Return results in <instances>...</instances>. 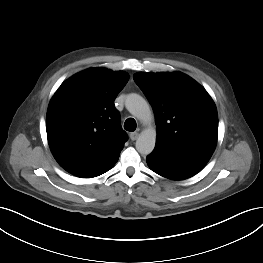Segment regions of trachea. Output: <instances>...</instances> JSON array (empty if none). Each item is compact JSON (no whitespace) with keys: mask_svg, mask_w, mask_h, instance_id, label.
<instances>
[{"mask_svg":"<svg viewBox=\"0 0 263 263\" xmlns=\"http://www.w3.org/2000/svg\"><path fill=\"white\" fill-rule=\"evenodd\" d=\"M124 129L130 132L136 130V121L133 118H128L124 123Z\"/></svg>","mask_w":263,"mask_h":263,"instance_id":"obj_1","label":"trachea"}]
</instances>
